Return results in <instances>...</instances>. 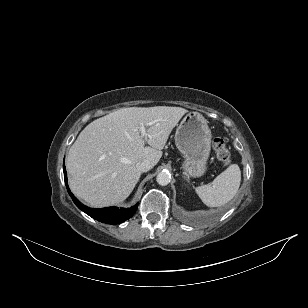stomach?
<instances>
[{"instance_id":"0dacf381","label":"stomach","mask_w":308,"mask_h":308,"mask_svg":"<svg viewBox=\"0 0 308 308\" xmlns=\"http://www.w3.org/2000/svg\"><path fill=\"white\" fill-rule=\"evenodd\" d=\"M211 138L208 121L198 112H189L177 126L175 143L184 156L182 168L188 178L205 173Z\"/></svg>"}]
</instances>
